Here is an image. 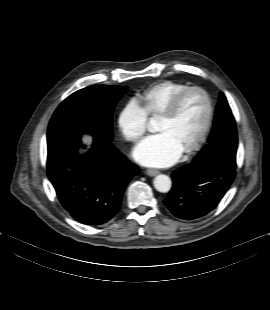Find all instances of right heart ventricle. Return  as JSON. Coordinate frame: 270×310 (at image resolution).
<instances>
[{
    "label": "right heart ventricle",
    "instance_id": "e07e8e85",
    "mask_svg": "<svg viewBox=\"0 0 270 310\" xmlns=\"http://www.w3.org/2000/svg\"><path fill=\"white\" fill-rule=\"evenodd\" d=\"M188 85L175 81H163L145 89L139 96L141 104L149 116L159 115L170 100Z\"/></svg>",
    "mask_w": 270,
    "mask_h": 310
}]
</instances>
